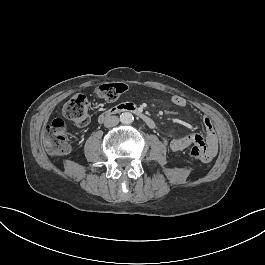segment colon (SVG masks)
Listing matches in <instances>:
<instances>
[{"mask_svg":"<svg viewBox=\"0 0 265 265\" xmlns=\"http://www.w3.org/2000/svg\"><path fill=\"white\" fill-rule=\"evenodd\" d=\"M127 91L124 84H106L96 88L99 98L112 102L117 100ZM64 116L79 126H86L90 122L89 102L86 95L75 93L63 107ZM69 123L65 118L54 119L42 133V143L45 151L50 155L66 154L70 147L67 139L69 135ZM202 148L191 145L190 155L200 160ZM201 161V160H200Z\"/></svg>","mask_w":265,"mask_h":265,"instance_id":"1","label":"colon"}]
</instances>
